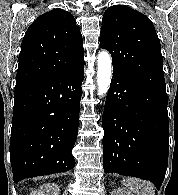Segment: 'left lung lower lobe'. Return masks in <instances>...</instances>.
<instances>
[{
    "label": "left lung lower lobe",
    "mask_w": 178,
    "mask_h": 195,
    "mask_svg": "<svg viewBox=\"0 0 178 195\" xmlns=\"http://www.w3.org/2000/svg\"><path fill=\"white\" fill-rule=\"evenodd\" d=\"M167 94L113 71L102 116L105 173L151 181L159 190L169 154Z\"/></svg>",
    "instance_id": "1"
}]
</instances>
